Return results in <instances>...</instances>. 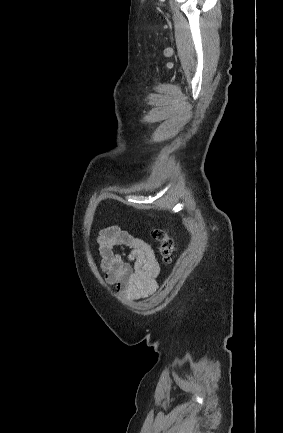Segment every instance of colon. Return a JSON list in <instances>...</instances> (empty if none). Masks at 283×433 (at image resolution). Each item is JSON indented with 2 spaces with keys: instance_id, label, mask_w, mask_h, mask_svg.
Masks as SVG:
<instances>
[{
  "instance_id": "colon-1",
  "label": "colon",
  "mask_w": 283,
  "mask_h": 433,
  "mask_svg": "<svg viewBox=\"0 0 283 433\" xmlns=\"http://www.w3.org/2000/svg\"><path fill=\"white\" fill-rule=\"evenodd\" d=\"M152 238L158 243V250L165 262H170L175 252V244L169 232L165 228H154L151 231Z\"/></svg>"
}]
</instances>
